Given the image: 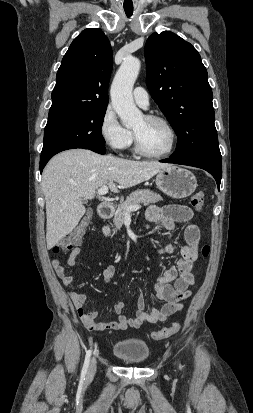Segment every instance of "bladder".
<instances>
[{
  "mask_svg": "<svg viewBox=\"0 0 253 413\" xmlns=\"http://www.w3.org/2000/svg\"><path fill=\"white\" fill-rule=\"evenodd\" d=\"M150 353V348L142 342H121L113 347L115 358L125 364H144L150 358Z\"/></svg>",
  "mask_w": 253,
  "mask_h": 413,
  "instance_id": "31cf9c89",
  "label": "bladder"
}]
</instances>
